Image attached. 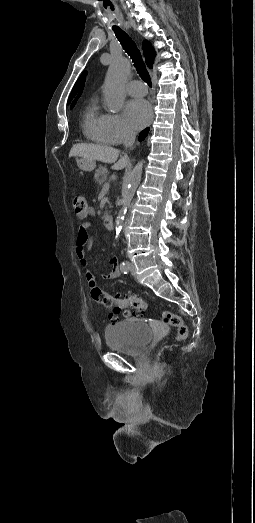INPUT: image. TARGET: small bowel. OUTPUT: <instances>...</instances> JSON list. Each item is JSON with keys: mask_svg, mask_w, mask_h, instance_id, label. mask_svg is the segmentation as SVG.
Instances as JSON below:
<instances>
[{"mask_svg": "<svg viewBox=\"0 0 255 523\" xmlns=\"http://www.w3.org/2000/svg\"><path fill=\"white\" fill-rule=\"evenodd\" d=\"M94 215L95 211L93 208H88L85 212L77 214V217L82 220V222L79 225L76 238V256L79 259L81 265L84 267H88L89 263L86 253L92 248L93 245L91 239L89 238V229L91 228L92 224L85 219ZM108 263L111 267V271L108 274H103L102 276L108 280H115L120 276L118 260L116 257H110ZM86 276L88 280L92 279V273L89 270H87Z\"/></svg>", "mask_w": 255, "mask_h": 523, "instance_id": "obj_1", "label": "small bowel"}]
</instances>
